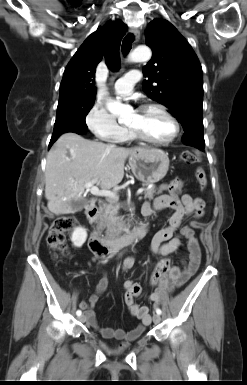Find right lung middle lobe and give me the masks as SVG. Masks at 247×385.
I'll return each instance as SVG.
<instances>
[{"label":"right lung middle lobe","mask_w":247,"mask_h":385,"mask_svg":"<svg viewBox=\"0 0 247 385\" xmlns=\"http://www.w3.org/2000/svg\"><path fill=\"white\" fill-rule=\"evenodd\" d=\"M95 97L75 95L59 96L53 134L75 128L87 129L85 118L94 104Z\"/></svg>","instance_id":"obj_1"}]
</instances>
